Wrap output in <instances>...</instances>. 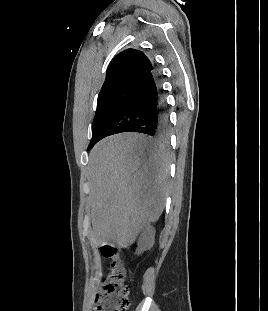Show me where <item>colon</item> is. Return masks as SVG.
Returning a JSON list of instances; mask_svg holds the SVG:
<instances>
[{
    "label": "colon",
    "mask_w": 268,
    "mask_h": 311,
    "mask_svg": "<svg viewBox=\"0 0 268 311\" xmlns=\"http://www.w3.org/2000/svg\"><path fill=\"white\" fill-rule=\"evenodd\" d=\"M110 260L109 272L96 295L97 306L93 311H126L129 307L127 273L117 250L112 246L101 249Z\"/></svg>",
    "instance_id": "5ec220e1"
}]
</instances>
